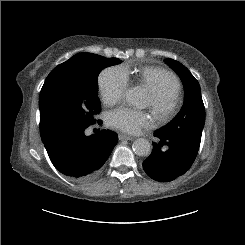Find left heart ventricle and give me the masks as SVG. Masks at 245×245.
Segmentation results:
<instances>
[{"mask_svg": "<svg viewBox=\"0 0 245 245\" xmlns=\"http://www.w3.org/2000/svg\"><path fill=\"white\" fill-rule=\"evenodd\" d=\"M150 104V95L148 94V97H147V105Z\"/></svg>", "mask_w": 245, "mask_h": 245, "instance_id": "b2bd125f", "label": "left heart ventricle"}]
</instances>
